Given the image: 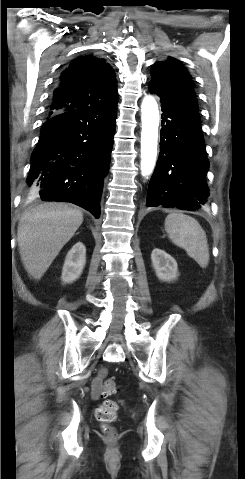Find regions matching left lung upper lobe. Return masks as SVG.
<instances>
[{
  "label": "left lung upper lobe",
  "instance_id": "5c2ea615",
  "mask_svg": "<svg viewBox=\"0 0 245 479\" xmlns=\"http://www.w3.org/2000/svg\"><path fill=\"white\" fill-rule=\"evenodd\" d=\"M165 86L176 85L182 82L192 83V77L180 61L168 57L165 61H158L153 65L152 79Z\"/></svg>",
  "mask_w": 245,
  "mask_h": 479
}]
</instances>
